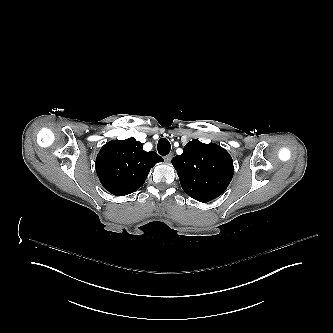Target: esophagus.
Wrapping results in <instances>:
<instances>
[{
	"instance_id": "1",
	"label": "esophagus",
	"mask_w": 333,
	"mask_h": 333,
	"mask_svg": "<svg viewBox=\"0 0 333 333\" xmlns=\"http://www.w3.org/2000/svg\"><path fill=\"white\" fill-rule=\"evenodd\" d=\"M171 159H172V153H171V154H168L167 156L164 157V160H165L166 162H170Z\"/></svg>"
}]
</instances>
